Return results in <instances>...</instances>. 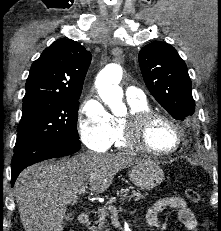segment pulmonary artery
I'll return each mask as SVG.
<instances>
[{"label": "pulmonary artery", "mask_w": 221, "mask_h": 231, "mask_svg": "<svg viewBox=\"0 0 221 231\" xmlns=\"http://www.w3.org/2000/svg\"><path fill=\"white\" fill-rule=\"evenodd\" d=\"M126 97L128 101H145L146 100L144 93L135 86H129L126 88Z\"/></svg>", "instance_id": "obj_1"}]
</instances>
